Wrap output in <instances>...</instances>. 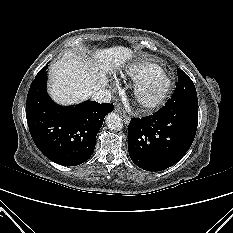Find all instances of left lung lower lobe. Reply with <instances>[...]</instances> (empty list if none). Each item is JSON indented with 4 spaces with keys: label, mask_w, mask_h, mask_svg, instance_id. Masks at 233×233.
I'll list each match as a JSON object with an SVG mask.
<instances>
[{
    "label": "left lung lower lobe",
    "mask_w": 233,
    "mask_h": 233,
    "mask_svg": "<svg viewBox=\"0 0 233 233\" xmlns=\"http://www.w3.org/2000/svg\"><path fill=\"white\" fill-rule=\"evenodd\" d=\"M197 123L198 100L177 104L169 99L154 115L131 119V160L147 171H161L174 165L190 148Z\"/></svg>",
    "instance_id": "0a47b994"
}]
</instances>
